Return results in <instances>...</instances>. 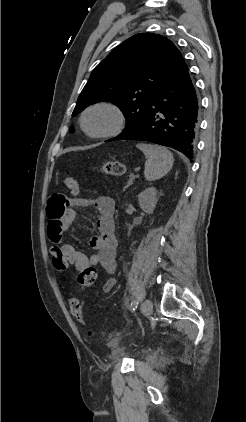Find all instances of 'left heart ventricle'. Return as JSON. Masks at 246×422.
Here are the masks:
<instances>
[{"label":"left heart ventricle","mask_w":246,"mask_h":422,"mask_svg":"<svg viewBox=\"0 0 246 422\" xmlns=\"http://www.w3.org/2000/svg\"><path fill=\"white\" fill-rule=\"evenodd\" d=\"M114 121L113 114L106 109H96L91 111L85 120L86 127L91 132H101L108 129Z\"/></svg>","instance_id":"1"}]
</instances>
